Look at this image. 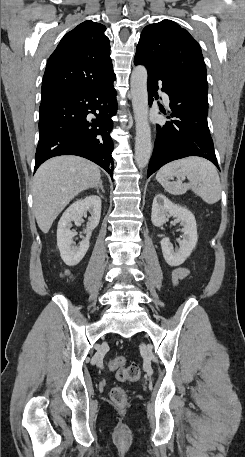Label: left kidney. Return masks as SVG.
Returning a JSON list of instances; mask_svg holds the SVG:
<instances>
[{"mask_svg":"<svg viewBox=\"0 0 245 457\" xmlns=\"http://www.w3.org/2000/svg\"><path fill=\"white\" fill-rule=\"evenodd\" d=\"M168 216H174L182 224L183 229L181 231L183 237L176 239L180 245V249H173L168 237L162 239L161 249L166 263L170 267H179V265H182L188 259L194 247H196L198 239L196 220L194 214L186 206L174 204L167 196L159 192V194L154 196L151 220L155 226H161L166 220H169Z\"/></svg>","mask_w":245,"mask_h":457,"instance_id":"5707ae66","label":"left kidney"}]
</instances>
